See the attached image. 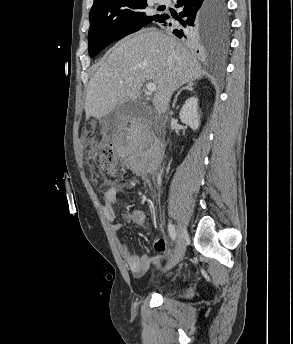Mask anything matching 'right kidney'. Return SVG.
Returning <instances> with one entry per match:
<instances>
[{"instance_id": "obj_1", "label": "right kidney", "mask_w": 293, "mask_h": 344, "mask_svg": "<svg viewBox=\"0 0 293 344\" xmlns=\"http://www.w3.org/2000/svg\"><path fill=\"white\" fill-rule=\"evenodd\" d=\"M179 118L182 123L188 125L191 129L197 130L200 125V114L198 113V98L191 97L187 99L182 106Z\"/></svg>"}]
</instances>
